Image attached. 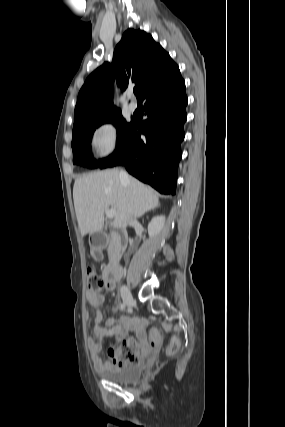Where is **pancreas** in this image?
I'll list each match as a JSON object with an SVG mask.
<instances>
[{"label":"pancreas","mask_w":285,"mask_h":427,"mask_svg":"<svg viewBox=\"0 0 285 427\" xmlns=\"http://www.w3.org/2000/svg\"><path fill=\"white\" fill-rule=\"evenodd\" d=\"M116 244V240L114 239V238H112L111 240H110V247H112L113 245H115Z\"/></svg>","instance_id":"pancreas-1"}]
</instances>
